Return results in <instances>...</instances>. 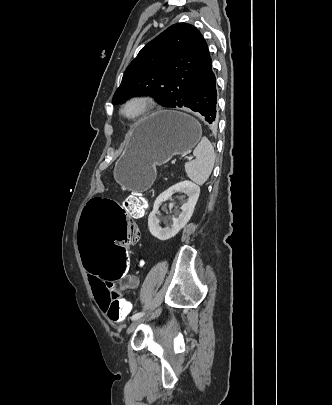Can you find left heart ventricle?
Listing matches in <instances>:
<instances>
[{
  "label": "left heart ventricle",
  "mask_w": 332,
  "mask_h": 405,
  "mask_svg": "<svg viewBox=\"0 0 332 405\" xmlns=\"http://www.w3.org/2000/svg\"><path fill=\"white\" fill-rule=\"evenodd\" d=\"M139 109L138 105H132L127 109V112L129 114H133L135 113L137 110Z\"/></svg>",
  "instance_id": "1"
}]
</instances>
